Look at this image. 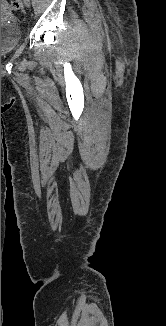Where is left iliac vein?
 I'll return each instance as SVG.
<instances>
[{
  "instance_id": "1",
  "label": "left iliac vein",
  "mask_w": 166,
  "mask_h": 326,
  "mask_svg": "<svg viewBox=\"0 0 166 326\" xmlns=\"http://www.w3.org/2000/svg\"><path fill=\"white\" fill-rule=\"evenodd\" d=\"M24 3L26 5V7L30 8V6H31L30 0H24Z\"/></svg>"
}]
</instances>
